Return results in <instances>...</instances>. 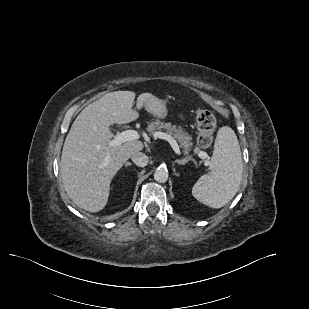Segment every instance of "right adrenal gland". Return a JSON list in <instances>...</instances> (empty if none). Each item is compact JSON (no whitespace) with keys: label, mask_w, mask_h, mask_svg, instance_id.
Instances as JSON below:
<instances>
[{"label":"right adrenal gland","mask_w":309,"mask_h":309,"mask_svg":"<svg viewBox=\"0 0 309 309\" xmlns=\"http://www.w3.org/2000/svg\"><path fill=\"white\" fill-rule=\"evenodd\" d=\"M132 165V163L131 162H127V163H125V167H127V166H131Z\"/></svg>","instance_id":"1"}]
</instances>
